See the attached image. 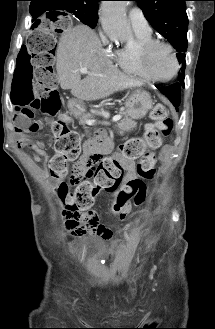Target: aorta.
Here are the masks:
<instances>
[{
  "instance_id": "obj_1",
  "label": "aorta",
  "mask_w": 215,
  "mask_h": 329,
  "mask_svg": "<svg viewBox=\"0 0 215 329\" xmlns=\"http://www.w3.org/2000/svg\"><path fill=\"white\" fill-rule=\"evenodd\" d=\"M127 1H104L100 9V19L105 33L119 42L132 39V31L126 18Z\"/></svg>"
}]
</instances>
